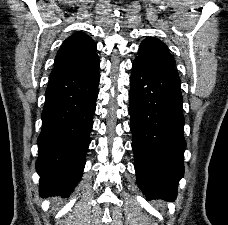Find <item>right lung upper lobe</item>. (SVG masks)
<instances>
[{
	"mask_svg": "<svg viewBox=\"0 0 228 225\" xmlns=\"http://www.w3.org/2000/svg\"><path fill=\"white\" fill-rule=\"evenodd\" d=\"M96 43L85 33L77 32L68 37L61 45L54 68L79 64L96 55Z\"/></svg>",
	"mask_w": 228,
	"mask_h": 225,
	"instance_id": "obj_1",
	"label": "right lung upper lobe"
}]
</instances>
